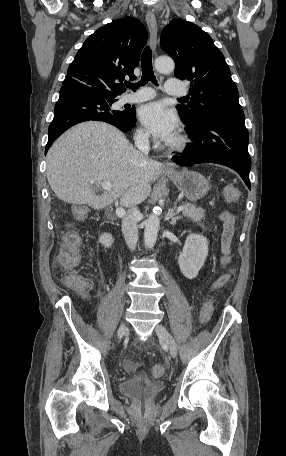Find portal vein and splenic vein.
Segmentation results:
<instances>
[{
	"label": "portal vein and splenic vein",
	"mask_w": 286,
	"mask_h": 456,
	"mask_svg": "<svg viewBox=\"0 0 286 456\" xmlns=\"http://www.w3.org/2000/svg\"><path fill=\"white\" fill-rule=\"evenodd\" d=\"M91 184H93V182H91ZM101 185V188L105 191H110L112 189V183L109 182V181H103L100 183ZM185 209L184 206H179L177 208V212H180V211H183ZM116 215L119 216V217H122L125 215V210L121 207H118L116 208Z\"/></svg>",
	"instance_id": "18ae733b"
}]
</instances>
